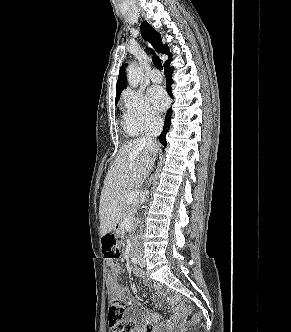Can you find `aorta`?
Listing matches in <instances>:
<instances>
[{
	"label": "aorta",
	"mask_w": 291,
	"mask_h": 332,
	"mask_svg": "<svg viewBox=\"0 0 291 332\" xmlns=\"http://www.w3.org/2000/svg\"><path fill=\"white\" fill-rule=\"evenodd\" d=\"M143 77V71L137 63H130L127 68V80L130 86L137 87Z\"/></svg>",
	"instance_id": "obj_1"
}]
</instances>
